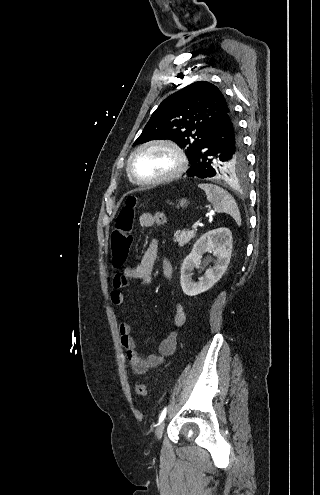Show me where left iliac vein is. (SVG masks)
<instances>
[{
    "label": "left iliac vein",
    "mask_w": 320,
    "mask_h": 495,
    "mask_svg": "<svg viewBox=\"0 0 320 495\" xmlns=\"http://www.w3.org/2000/svg\"><path fill=\"white\" fill-rule=\"evenodd\" d=\"M165 428V421L161 422L156 428L155 435L158 440H161Z\"/></svg>",
    "instance_id": "1"
}]
</instances>
